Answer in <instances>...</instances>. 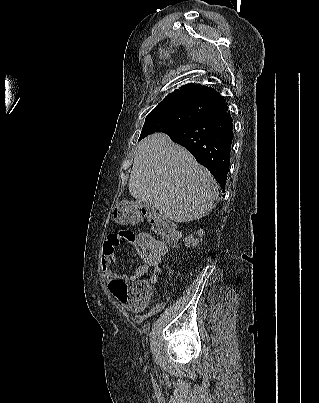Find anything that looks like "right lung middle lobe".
Returning <instances> with one entry per match:
<instances>
[{"label":"right lung middle lobe","mask_w":319,"mask_h":403,"mask_svg":"<svg viewBox=\"0 0 319 403\" xmlns=\"http://www.w3.org/2000/svg\"><path fill=\"white\" fill-rule=\"evenodd\" d=\"M212 114L211 110L190 102L158 104L146 117L139 140L161 129L185 125Z\"/></svg>","instance_id":"1"}]
</instances>
